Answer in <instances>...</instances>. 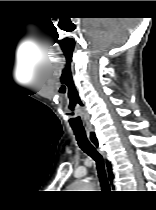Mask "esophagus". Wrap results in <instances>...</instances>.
Listing matches in <instances>:
<instances>
[{"label": "esophagus", "mask_w": 156, "mask_h": 210, "mask_svg": "<svg viewBox=\"0 0 156 210\" xmlns=\"http://www.w3.org/2000/svg\"><path fill=\"white\" fill-rule=\"evenodd\" d=\"M87 136H88L90 142L93 144V146L103 156L104 161H105L108 182H109V185L112 186V184L114 183V172L112 170V162H111V160L108 159L106 152L102 149L100 141H99L96 133L94 131L87 132Z\"/></svg>", "instance_id": "esophagus-1"}]
</instances>
